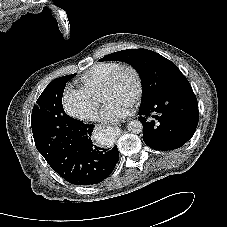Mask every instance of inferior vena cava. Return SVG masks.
I'll return each mask as SVG.
<instances>
[{
  "label": "inferior vena cava",
  "mask_w": 227,
  "mask_h": 227,
  "mask_svg": "<svg viewBox=\"0 0 227 227\" xmlns=\"http://www.w3.org/2000/svg\"><path fill=\"white\" fill-rule=\"evenodd\" d=\"M85 116L87 119H90V120H96L98 118L97 113L94 111L88 112Z\"/></svg>",
  "instance_id": "inferior-vena-cava-1"
}]
</instances>
